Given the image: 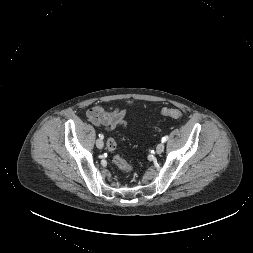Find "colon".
<instances>
[{"instance_id": "colon-1", "label": "colon", "mask_w": 253, "mask_h": 253, "mask_svg": "<svg viewBox=\"0 0 253 253\" xmlns=\"http://www.w3.org/2000/svg\"><path fill=\"white\" fill-rule=\"evenodd\" d=\"M161 114L165 115V116H169L175 119H180L182 118V112L178 109L175 108H163L161 109ZM107 148L109 151L113 152V163L115 164V166L120 169L123 172L126 173H131L134 171V167L133 165L129 164L122 156H120L119 154L115 153L116 149H117V143L115 141V139L113 138H109L107 140Z\"/></svg>"}]
</instances>
